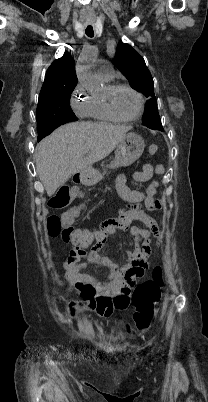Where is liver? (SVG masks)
<instances>
[{
  "label": "liver",
  "instance_id": "liver-1",
  "mask_svg": "<svg viewBox=\"0 0 208 402\" xmlns=\"http://www.w3.org/2000/svg\"><path fill=\"white\" fill-rule=\"evenodd\" d=\"M129 130L130 126L107 122H74L44 138L37 144L35 154L37 174L48 196H53L73 174L109 156ZM83 154H89L90 160L84 162Z\"/></svg>",
  "mask_w": 208,
  "mask_h": 402
}]
</instances>
